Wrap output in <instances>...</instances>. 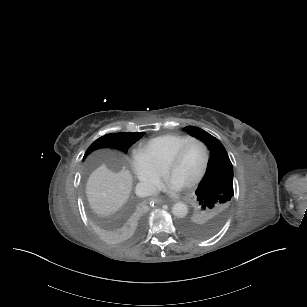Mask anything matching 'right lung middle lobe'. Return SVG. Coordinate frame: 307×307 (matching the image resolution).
Segmentation results:
<instances>
[{
  "mask_svg": "<svg viewBox=\"0 0 307 307\" xmlns=\"http://www.w3.org/2000/svg\"><path fill=\"white\" fill-rule=\"evenodd\" d=\"M141 136L142 133L128 132L111 133L104 135L90 145V147L85 152L83 159H85L86 156L92 151L104 147L116 148L126 153L128 148L133 145L139 138H141Z\"/></svg>",
  "mask_w": 307,
  "mask_h": 307,
  "instance_id": "1",
  "label": "right lung middle lobe"
}]
</instances>
